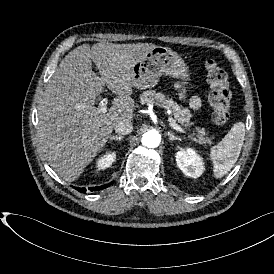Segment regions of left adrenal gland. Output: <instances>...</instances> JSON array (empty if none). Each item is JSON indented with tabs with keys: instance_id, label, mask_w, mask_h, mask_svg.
<instances>
[{
	"instance_id": "left-adrenal-gland-1",
	"label": "left adrenal gland",
	"mask_w": 274,
	"mask_h": 274,
	"mask_svg": "<svg viewBox=\"0 0 274 274\" xmlns=\"http://www.w3.org/2000/svg\"><path fill=\"white\" fill-rule=\"evenodd\" d=\"M167 135H168L170 141H174V140L181 141V138L174 136V134L172 132H168Z\"/></svg>"
}]
</instances>
